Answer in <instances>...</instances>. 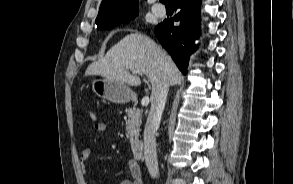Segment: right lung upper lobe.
I'll list each match as a JSON object with an SVG mask.
<instances>
[{
  "label": "right lung upper lobe",
  "instance_id": "cb5924a9",
  "mask_svg": "<svg viewBox=\"0 0 293 184\" xmlns=\"http://www.w3.org/2000/svg\"><path fill=\"white\" fill-rule=\"evenodd\" d=\"M138 0H102L95 23H111L138 13Z\"/></svg>",
  "mask_w": 293,
  "mask_h": 184
}]
</instances>
